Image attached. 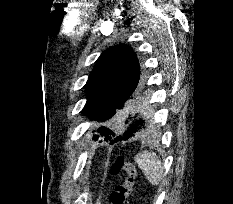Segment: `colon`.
<instances>
[{"mask_svg": "<svg viewBox=\"0 0 233 204\" xmlns=\"http://www.w3.org/2000/svg\"><path fill=\"white\" fill-rule=\"evenodd\" d=\"M109 174L111 176L124 175V181L118 184L110 195L112 204H128L129 196L133 190L137 170L135 165L125 158L116 159L110 166Z\"/></svg>", "mask_w": 233, "mask_h": 204, "instance_id": "5ec220e1", "label": "colon"}]
</instances>
